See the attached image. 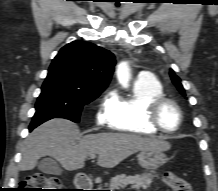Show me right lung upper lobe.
<instances>
[{
    "label": "right lung upper lobe",
    "mask_w": 218,
    "mask_h": 191,
    "mask_svg": "<svg viewBox=\"0 0 218 191\" xmlns=\"http://www.w3.org/2000/svg\"><path fill=\"white\" fill-rule=\"evenodd\" d=\"M114 55L95 44L73 41L53 59L49 70L56 71L83 88L103 91L111 80Z\"/></svg>",
    "instance_id": "cb5924a9"
}]
</instances>
